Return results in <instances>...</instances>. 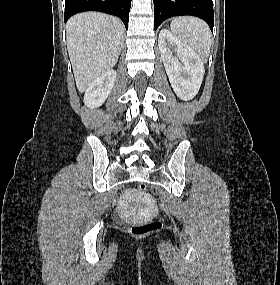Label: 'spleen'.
Segmentation results:
<instances>
[{
    "label": "spleen",
    "mask_w": 280,
    "mask_h": 285,
    "mask_svg": "<svg viewBox=\"0 0 280 285\" xmlns=\"http://www.w3.org/2000/svg\"><path fill=\"white\" fill-rule=\"evenodd\" d=\"M171 31L193 49L203 62L209 57L212 38L208 25L195 17H177L171 22Z\"/></svg>",
    "instance_id": "spleen-1"
}]
</instances>
